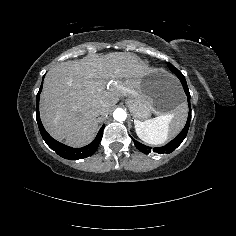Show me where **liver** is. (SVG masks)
<instances>
[{
  "mask_svg": "<svg viewBox=\"0 0 236 236\" xmlns=\"http://www.w3.org/2000/svg\"><path fill=\"white\" fill-rule=\"evenodd\" d=\"M148 73L136 55L114 52L57 64L44 79L40 116L47 132L72 147L89 144L101 116L112 113L120 96L137 97Z\"/></svg>",
  "mask_w": 236,
  "mask_h": 236,
  "instance_id": "liver-1",
  "label": "liver"
}]
</instances>
